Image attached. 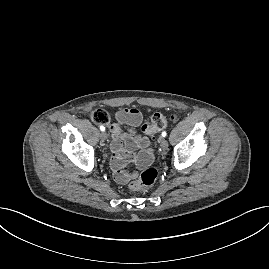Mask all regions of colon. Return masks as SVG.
Segmentation results:
<instances>
[{
    "label": "colon",
    "instance_id": "1",
    "mask_svg": "<svg viewBox=\"0 0 269 269\" xmlns=\"http://www.w3.org/2000/svg\"><path fill=\"white\" fill-rule=\"evenodd\" d=\"M92 120L97 124H108L110 122L109 114L103 109H96L91 114ZM173 120L172 116H167L162 113H155L151 119L143 125L142 129L147 135H154L166 128ZM157 170L155 168H146L143 170L137 180L131 184L134 190H143L151 187L157 179Z\"/></svg>",
    "mask_w": 269,
    "mask_h": 269
}]
</instances>
